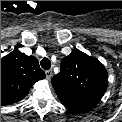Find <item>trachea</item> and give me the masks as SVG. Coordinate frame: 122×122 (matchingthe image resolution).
Instances as JSON below:
<instances>
[{"mask_svg":"<svg viewBox=\"0 0 122 122\" xmlns=\"http://www.w3.org/2000/svg\"><path fill=\"white\" fill-rule=\"evenodd\" d=\"M40 65L44 70H49L51 67V62L48 58H43L40 62Z\"/></svg>","mask_w":122,"mask_h":122,"instance_id":"obj_1","label":"trachea"}]
</instances>
